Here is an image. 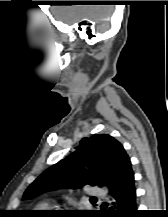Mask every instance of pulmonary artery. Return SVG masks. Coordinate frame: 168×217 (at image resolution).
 <instances>
[{
  "instance_id": "e3ab8cb5",
  "label": "pulmonary artery",
  "mask_w": 168,
  "mask_h": 217,
  "mask_svg": "<svg viewBox=\"0 0 168 217\" xmlns=\"http://www.w3.org/2000/svg\"><path fill=\"white\" fill-rule=\"evenodd\" d=\"M88 194L91 196V197H105L106 194L105 192L100 189V188H97V187H90L88 189Z\"/></svg>"
}]
</instances>
